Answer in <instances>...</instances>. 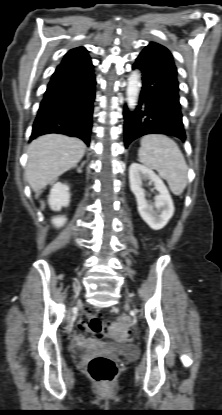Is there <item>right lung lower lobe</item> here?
<instances>
[{"label":"right lung lower lobe","instance_id":"1","mask_svg":"<svg viewBox=\"0 0 222 415\" xmlns=\"http://www.w3.org/2000/svg\"><path fill=\"white\" fill-rule=\"evenodd\" d=\"M95 84L87 51L67 53L47 86L30 141L43 134L60 133L89 145Z\"/></svg>","mask_w":222,"mask_h":415}]
</instances>
